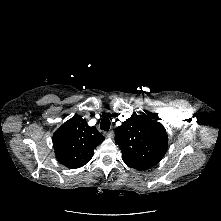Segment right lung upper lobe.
<instances>
[{"label":"right lung upper lobe","mask_w":221,"mask_h":221,"mask_svg":"<svg viewBox=\"0 0 221 221\" xmlns=\"http://www.w3.org/2000/svg\"><path fill=\"white\" fill-rule=\"evenodd\" d=\"M104 140L96 127L75 116L66 121L53 135L58 161L70 169L84 166L92 158L94 149Z\"/></svg>","instance_id":"obj_1"}]
</instances>
